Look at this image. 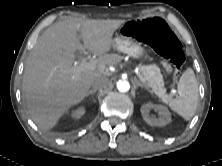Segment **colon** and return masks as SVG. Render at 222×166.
<instances>
[{"label": "colon", "instance_id": "obj_1", "mask_svg": "<svg viewBox=\"0 0 222 166\" xmlns=\"http://www.w3.org/2000/svg\"><path fill=\"white\" fill-rule=\"evenodd\" d=\"M121 33L129 38L150 45L165 58V69L170 74L178 76L185 62L181 43L161 18L147 17L128 22Z\"/></svg>", "mask_w": 222, "mask_h": 166}]
</instances>
